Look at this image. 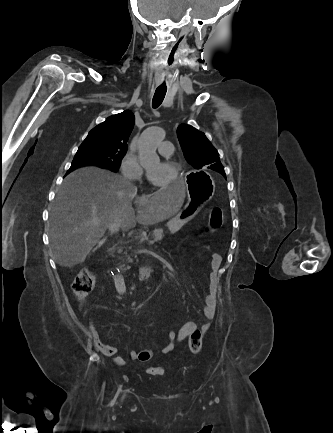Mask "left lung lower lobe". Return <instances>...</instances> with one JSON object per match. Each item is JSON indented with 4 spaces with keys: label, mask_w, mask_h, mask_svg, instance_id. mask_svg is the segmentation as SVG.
<instances>
[{
    "label": "left lung lower lobe",
    "mask_w": 333,
    "mask_h": 433,
    "mask_svg": "<svg viewBox=\"0 0 333 433\" xmlns=\"http://www.w3.org/2000/svg\"><path fill=\"white\" fill-rule=\"evenodd\" d=\"M210 169H212V170H215V171H217L215 168H217L216 166H212V167H209ZM218 172V171H217ZM221 174L225 177V173H224V171H222L221 170ZM220 173V172H219Z\"/></svg>",
    "instance_id": "left-lung-lower-lobe-1"
}]
</instances>
